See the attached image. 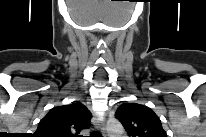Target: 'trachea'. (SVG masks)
<instances>
[{
	"instance_id": "obj_1",
	"label": "trachea",
	"mask_w": 206,
	"mask_h": 137,
	"mask_svg": "<svg viewBox=\"0 0 206 137\" xmlns=\"http://www.w3.org/2000/svg\"><path fill=\"white\" fill-rule=\"evenodd\" d=\"M90 137H102V136L99 132H97V133H93L92 136Z\"/></svg>"
}]
</instances>
